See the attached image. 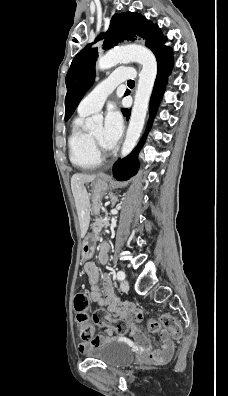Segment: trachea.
Wrapping results in <instances>:
<instances>
[{"label": "trachea", "mask_w": 228, "mask_h": 396, "mask_svg": "<svg viewBox=\"0 0 228 396\" xmlns=\"http://www.w3.org/2000/svg\"><path fill=\"white\" fill-rule=\"evenodd\" d=\"M127 83H128V84H133L134 81H133V80H129Z\"/></svg>", "instance_id": "3493384b"}]
</instances>
